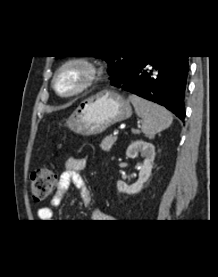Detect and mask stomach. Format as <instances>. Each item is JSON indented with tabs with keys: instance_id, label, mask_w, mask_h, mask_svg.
<instances>
[{
	"instance_id": "0dacf381",
	"label": "stomach",
	"mask_w": 218,
	"mask_h": 277,
	"mask_svg": "<svg viewBox=\"0 0 218 277\" xmlns=\"http://www.w3.org/2000/svg\"><path fill=\"white\" fill-rule=\"evenodd\" d=\"M131 115L132 107L127 99L104 90L82 101L67 119L66 126L82 136H93Z\"/></svg>"
}]
</instances>
